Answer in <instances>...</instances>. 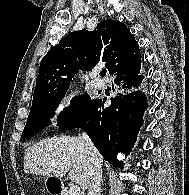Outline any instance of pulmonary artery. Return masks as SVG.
<instances>
[{
	"mask_svg": "<svg viewBox=\"0 0 189 195\" xmlns=\"http://www.w3.org/2000/svg\"><path fill=\"white\" fill-rule=\"evenodd\" d=\"M91 84L95 89L105 88V82L96 78L92 80Z\"/></svg>",
	"mask_w": 189,
	"mask_h": 195,
	"instance_id": "1",
	"label": "pulmonary artery"
}]
</instances>
